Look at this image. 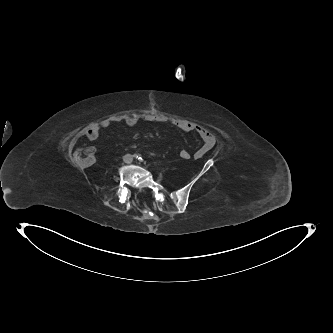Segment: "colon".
<instances>
[{
  "label": "colon",
  "instance_id": "5ec220e1",
  "mask_svg": "<svg viewBox=\"0 0 333 333\" xmlns=\"http://www.w3.org/2000/svg\"><path fill=\"white\" fill-rule=\"evenodd\" d=\"M179 157L182 159L188 160L191 158V153L188 150H185L184 148H181L178 151ZM74 161L78 166L81 167H88L91 166L95 161L94 156V150L92 148L86 147V148H78L74 152Z\"/></svg>",
  "mask_w": 333,
  "mask_h": 333
}]
</instances>
